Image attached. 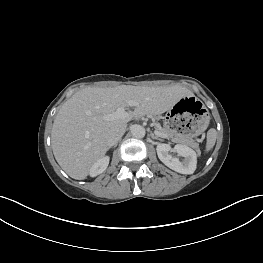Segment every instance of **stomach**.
<instances>
[{
  "mask_svg": "<svg viewBox=\"0 0 263 263\" xmlns=\"http://www.w3.org/2000/svg\"><path fill=\"white\" fill-rule=\"evenodd\" d=\"M165 121L173 135L179 138L198 139L210 130L212 114L206 104L194 96H186L167 110Z\"/></svg>",
  "mask_w": 263,
  "mask_h": 263,
  "instance_id": "1",
  "label": "stomach"
}]
</instances>
